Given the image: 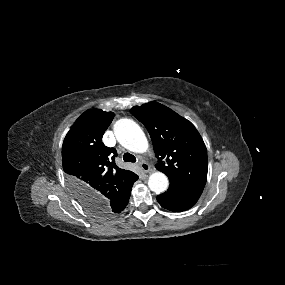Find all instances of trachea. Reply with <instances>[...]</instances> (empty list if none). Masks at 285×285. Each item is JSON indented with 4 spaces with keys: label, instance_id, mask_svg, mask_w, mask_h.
<instances>
[{
    "label": "trachea",
    "instance_id": "3493384b",
    "mask_svg": "<svg viewBox=\"0 0 285 285\" xmlns=\"http://www.w3.org/2000/svg\"><path fill=\"white\" fill-rule=\"evenodd\" d=\"M123 160L125 162H132V163H134V162H136V157L134 155L130 154V153H125L123 155Z\"/></svg>",
    "mask_w": 285,
    "mask_h": 285
}]
</instances>
